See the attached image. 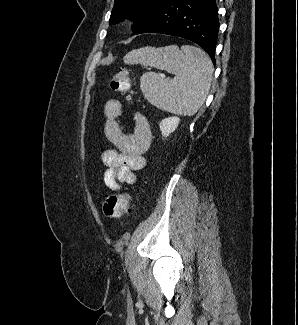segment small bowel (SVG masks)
Returning <instances> with one entry per match:
<instances>
[{"label": "small bowel", "instance_id": "1", "mask_svg": "<svg viewBox=\"0 0 298 325\" xmlns=\"http://www.w3.org/2000/svg\"><path fill=\"white\" fill-rule=\"evenodd\" d=\"M122 112V104L118 99H110L104 106L105 135L116 149H106L102 153V162L106 166L103 175L105 186L118 191L123 184L138 182L136 172L144 168V153L152 141L150 125L141 113L134 115V130L125 133L118 122Z\"/></svg>", "mask_w": 298, "mask_h": 325}]
</instances>
